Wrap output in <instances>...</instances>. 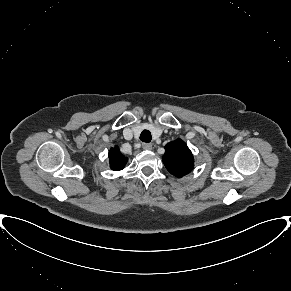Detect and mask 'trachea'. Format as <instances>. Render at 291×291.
<instances>
[{
	"label": "trachea",
	"mask_w": 291,
	"mask_h": 291,
	"mask_svg": "<svg viewBox=\"0 0 291 291\" xmlns=\"http://www.w3.org/2000/svg\"><path fill=\"white\" fill-rule=\"evenodd\" d=\"M152 139L151 133L148 130H143L140 134V140L149 143Z\"/></svg>",
	"instance_id": "obj_1"
}]
</instances>
